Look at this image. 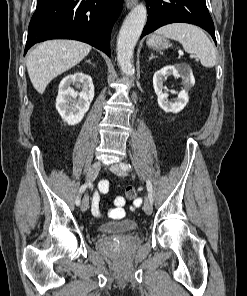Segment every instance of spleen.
<instances>
[{
  "label": "spleen",
  "instance_id": "obj_1",
  "mask_svg": "<svg viewBox=\"0 0 247 296\" xmlns=\"http://www.w3.org/2000/svg\"><path fill=\"white\" fill-rule=\"evenodd\" d=\"M155 33L179 41L187 53L198 56L204 67L215 66V48L199 27L186 23H173L159 28Z\"/></svg>",
  "mask_w": 247,
  "mask_h": 296
}]
</instances>
